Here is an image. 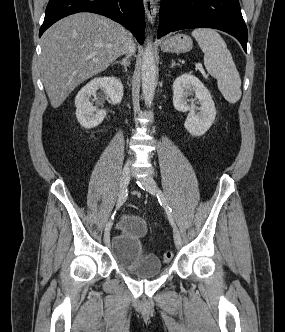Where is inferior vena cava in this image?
Masks as SVG:
<instances>
[{
    "label": "inferior vena cava",
    "instance_id": "602c4592",
    "mask_svg": "<svg viewBox=\"0 0 285 332\" xmlns=\"http://www.w3.org/2000/svg\"><path fill=\"white\" fill-rule=\"evenodd\" d=\"M127 52H128L129 55H133L134 52H135V45H134V43L131 39L129 41V47H128Z\"/></svg>",
    "mask_w": 285,
    "mask_h": 332
}]
</instances>
